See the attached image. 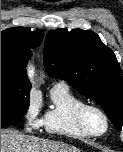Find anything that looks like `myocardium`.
I'll use <instances>...</instances> for the list:
<instances>
[{"mask_svg":"<svg viewBox=\"0 0 123 152\" xmlns=\"http://www.w3.org/2000/svg\"><path fill=\"white\" fill-rule=\"evenodd\" d=\"M90 111H95L102 116L105 122V128L102 132L96 133L90 129L87 124V115ZM76 121L78 126L90 137H100L103 136L109 129L110 121L108 115L105 113L103 109L96 105L92 104H83L76 111Z\"/></svg>","mask_w":123,"mask_h":152,"instance_id":"1","label":"myocardium"}]
</instances>
